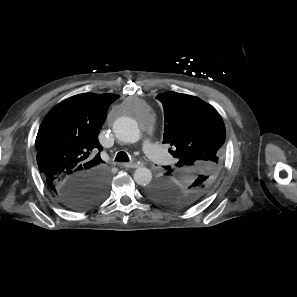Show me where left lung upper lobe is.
<instances>
[{
	"label": "left lung upper lobe",
	"mask_w": 297,
	"mask_h": 297,
	"mask_svg": "<svg viewBox=\"0 0 297 297\" xmlns=\"http://www.w3.org/2000/svg\"><path fill=\"white\" fill-rule=\"evenodd\" d=\"M164 109L163 143L177 158L174 167L148 189V195L165 205L187 207L210 189L223 165L225 126L219 113L201 99L176 92L156 97Z\"/></svg>",
	"instance_id": "obj_1"
}]
</instances>
